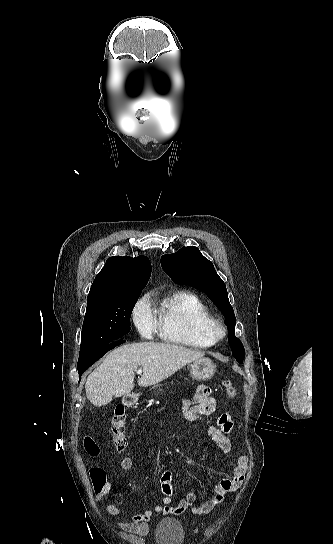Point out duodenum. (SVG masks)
I'll return each mask as SVG.
<instances>
[{"label":"duodenum","instance_id":"duodenum-1","mask_svg":"<svg viewBox=\"0 0 333 544\" xmlns=\"http://www.w3.org/2000/svg\"><path fill=\"white\" fill-rule=\"evenodd\" d=\"M124 402L127 406H133L136 402V399L133 395L125 396Z\"/></svg>","mask_w":333,"mask_h":544}]
</instances>
